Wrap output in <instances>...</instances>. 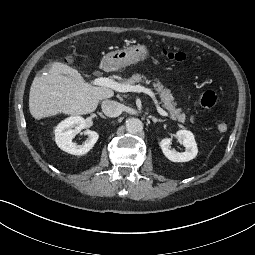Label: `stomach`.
Listing matches in <instances>:
<instances>
[{
  "mask_svg": "<svg viewBox=\"0 0 255 255\" xmlns=\"http://www.w3.org/2000/svg\"><path fill=\"white\" fill-rule=\"evenodd\" d=\"M149 51L145 45L135 44L106 54L103 64L111 70H119L140 60H145Z\"/></svg>",
  "mask_w": 255,
  "mask_h": 255,
  "instance_id": "obj_1",
  "label": "stomach"
}]
</instances>
